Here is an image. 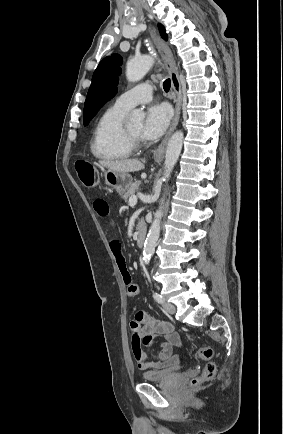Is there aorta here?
Listing matches in <instances>:
<instances>
[{
    "label": "aorta",
    "instance_id": "1",
    "mask_svg": "<svg viewBox=\"0 0 283 434\" xmlns=\"http://www.w3.org/2000/svg\"><path fill=\"white\" fill-rule=\"evenodd\" d=\"M154 64L153 57L149 55H145L138 58H132L127 62L126 66V78L130 82H136L142 79L146 73L150 70L152 65ZM145 117V114L141 110H134L129 117V122L131 123H139ZM183 132L176 131L170 138L166 155H165V163H164V174L163 179H169L171 172L178 160L180 152L182 150L183 145ZM162 217V209L161 206L156 211L154 220L150 226L147 238L144 243L143 248V261L145 264H148L152 255L155 251V246L158 241L160 235V224Z\"/></svg>",
    "mask_w": 283,
    "mask_h": 434
}]
</instances>
